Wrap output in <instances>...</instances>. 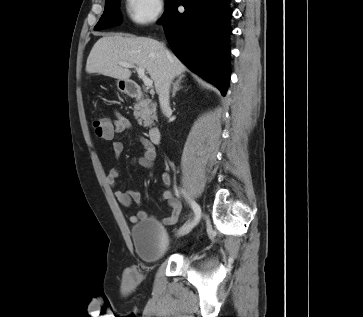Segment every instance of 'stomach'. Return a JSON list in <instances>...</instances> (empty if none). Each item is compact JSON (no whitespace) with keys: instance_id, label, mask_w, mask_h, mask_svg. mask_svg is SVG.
<instances>
[{"instance_id":"0dacf381","label":"stomach","mask_w":363,"mask_h":317,"mask_svg":"<svg viewBox=\"0 0 363 317\" xmlns=\"http://www.w3.org/2000/svg\"><path fill=\"white\" fill-rule=\"evenodd\" d=\"M129 80H118L117 81V88L122 93L128 92Z\"/></svg>"}]
</instances>
